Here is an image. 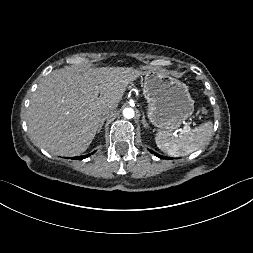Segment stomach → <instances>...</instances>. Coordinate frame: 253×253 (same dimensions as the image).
Wrapping results in <instances>:
<instances>
[{
  "label": "stomach",
  "mask_w": 253,
  "mask_h": 253,
  "mask_svg": "<svg viewBox=\"0 0 253 253\" xmlns=\"http://www.w3.org/2000/svg\"><path fill=\"white\" fill-rule=\"evenodd\" d=\"M143 91L147 116L159 131H174L194 111L188 86L167 73L148 70L143 73Z\"/></svg>",
  "instance_id": "obj_1"
}]
</instances>
